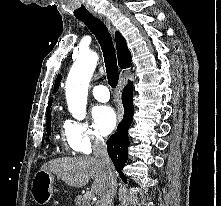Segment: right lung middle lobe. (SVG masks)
<instances>
[{"label": "right lung middle lobe", "mask_w": 221, "mask_h": 206, "mask_svg": "<svg viewBox=\"0 0 221 206\" xmlns=\"http://www.w3.org/2000/svg\"><path fill=\"white\" fill-rule=\"evenodd\" d=\"M47 134L50 136L51 134V113H47V124H46Z\"/></svg>", "instance_id": "right-lung-middle-lobe-1"}]
</instances>
